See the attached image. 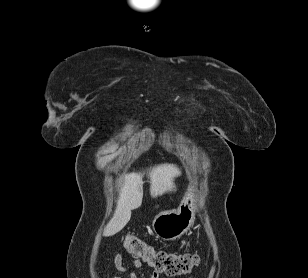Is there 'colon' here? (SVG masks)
<instances>
[{"mask_svg":"<svg viewBox=\"0 0 308 278\" xmlns=\"http://www.w3.org/2000/svg\"><path fill=\"white\" fill-rule=\"evenodd\" d=\"M124 247L133 257L149 265L154 272L169 276L189 273L200 262L198 255L156 249L132 235L125 237Z\"/></svg>","mask_w":308,"mask_h":278,"instance_id":"obj_1","label":"colon"}]
</instances>
